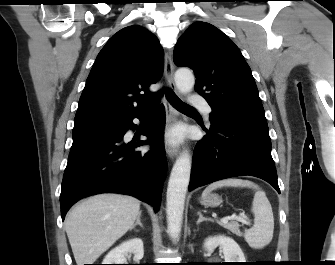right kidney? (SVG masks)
Wrapping results in <instances>:
<instances>
[{
    "instance_id": "right-kidney-1",
    "label": "right kidney",
    "mask_w": 335,
    "mask_h": 265,
    "mask_svg": "<svg viewBox=\"0 0 335 265\" xmlns=\"http://www.w3.org/2000/svg\"><path fill=\"white\" fill-rule=\"evenodd\" d=\"M134 255V261L138 262L143 258V241L140 238H133L112 249L104 258L102 264H125L126 256Z\"/></svg>"
}]
</instances>
